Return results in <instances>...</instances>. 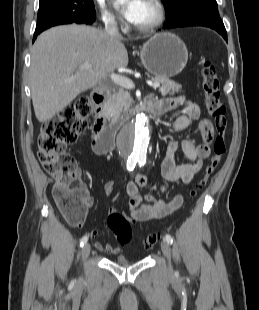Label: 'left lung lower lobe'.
Listing matches in <instances>:
<instances>
[{"mask_svg":"<svg viewBox=\"0 0 259 310\" xmlns=\"http://www.w3.org/2000/svg\"><path fill=\"white\" fill-rule=\"evenodd\" d=\"M186 26H205L217 31L227 41V32L223 22L210 21L205 19H192L187 20L175 25L166 26V28L186 27Z\"/></svg>","mask_w":259,"mask_h":310,"instance_id":"0a47b994","label":"left lung lower lobe"}]
</instances>
